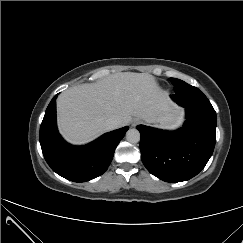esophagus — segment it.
I'll list each match as a JSON object with an SVG mask.
<instances>
[{"mask_svg":"<svg viewBox=\"0 0 243 243\" xmlns=\"http://www.w3.org/2000/svg\"><path fill=\"white\" fill-rule=\"evenodd\" d=\"M138 122H139V121H138L137 119H135V120L133 121V124H132V125H133V126H136V125L138 124Z\"/></svg>","mask_w":243,"mask_h":243,"instance_id":"1","label":"esophagus"}]
</instances>
